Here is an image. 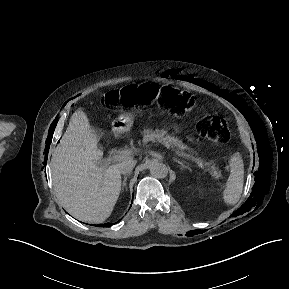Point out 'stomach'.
<instances>
[{
    "label": "stomach",
    "instance_id": "stomach-1",
    "mask_svg": "<svg viewBox=\"0 0 289 289\" xmlns=\"http://www.w3.org/2000/svg\"><path fill=\"white\" fill-rule=\"evenodd\" d=\"M132 124H133L132 116L124 115L114 121L113 129L116 132H126L130 130Z\"/></svg>",
    "mask_w": 289,
    "mask_h": 289
}]
</instances>
